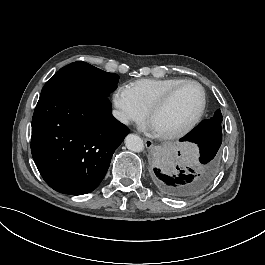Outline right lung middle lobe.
Masks as SVG:
<instances>
[{
	"mask_svg": "<svg viewBox=\"0 0 265 265\" xmlns=\"http://www.w3.org/2000/svg\"><path fill=\"white\" fill-rule=\"evenodd\" d=\"M119 76L107 73L81 61L61 68L43 87L42 93L59 92L73 95L107 97L117 87Z\"/></svg>",
	"mask_w": 265,
	"mask_h": 265,
	"instance_id": "obj_1",
	"label": "right lung middle lobe"
}]
</instances>
